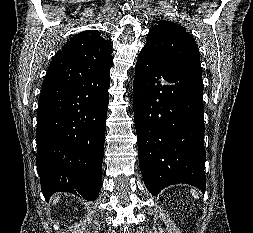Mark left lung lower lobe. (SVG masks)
Wrapping results in <instances>:
<instances>
[{
	"label": "left lung lower lobe",
	"mask_w": 253,
	"mask_h": 233,
	"mask_svg": "<svg viewBox=\"0 0 253 233\" xmlns=\"http://www.w3.org/2000/svg\"><path fill=\"white\" fill-rule=\"evenodd\" d=\"M134 119L139 166L148 191L187 183L205 191L202 75L165 72L141 50L135 68Z\"/></svg>",
	"instance_id": "1"
}]
</instances>
